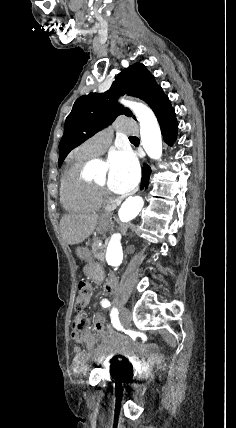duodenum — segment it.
Returning <instances> with one entry per match:
<instances>
[{"mask_svg":"<svg viewBox=\"0 0 236 428\" xmlns=\"http://www.w3.org/2000/svg\"><path fill=\"white\" fill-rule=\"evenodd\" d=\"M109 278H111V279H115V276L111 275Z\"/></svg>","mask_w":236,"mask_h":428,"instance_id":"duodenum-1","label":"duodenum"}]
</instances>
